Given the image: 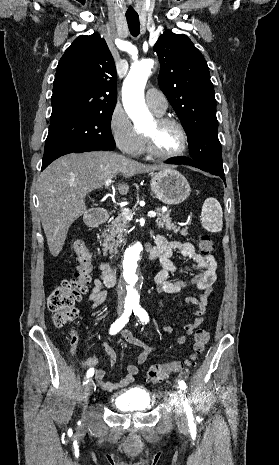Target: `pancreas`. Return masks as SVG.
<instances>
[{
    "label": "pancreas",
    "mask_w": 279,
    "mask_h": 465,
    "mask_svg": "<svg viewBox=\"0 0 279 465\" xmlns=\"http://www.w3.org/2000/svg\"><path fill=\"white\" fill-rule=\"evenodd\" d=\"M158 218L156 220V225L158 228H166L167 230H173L175 233L179 232L183 236L188 235V227L180 230V227H177L170 217V212H162L160 209H157ZM129 228V220L124 218L122 214H118L116 218L111 221V224L108 226L107 230H104L102 233L103 242L101 246L104 253L109 252L114 254L117 251V248L122 245L124 242V237L127 235V229Z\"/></svg>",
    "instance_id": "obj_1"
}]
</instances>
